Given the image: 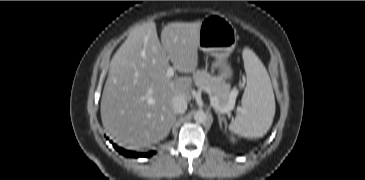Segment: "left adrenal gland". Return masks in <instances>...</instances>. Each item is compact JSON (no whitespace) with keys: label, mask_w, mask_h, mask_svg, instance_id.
Returning a JSON list of instances; mask_svg holds the SVG:
<instances>
[{"label":"left adrenal gland","mask_w":365,"mask_h":180,"mask_svg":"<svg viewBox=\"0 0 365 180\" xmlns=\"http://www.w3.org/2000/svg\"><path fill=\"white\" fill-rule=\"evenodd\" d=\"M217 116H218V121H219V126L222 129V123L224 122L225 126H226V118L221 116V113L218 112L217 110L215 111Z\"/></svg>","instance_id":"a2214340"}]
</instances>
